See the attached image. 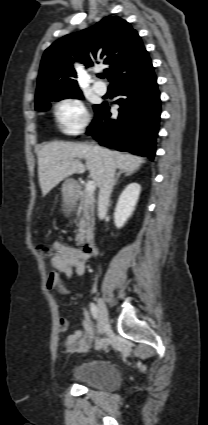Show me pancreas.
<instances>
[{
    "label": "pancreas",
    "instance_id": "obj_1",
    "mask_svg": "<svg viewBox=\"0 0 208 425\" xmlns=\"http://www.w3.org/2000/svg\"><path fill=\"white\" fill-rule=\"evenodd\" d=\"M94 207H95V198L93 194L88 193L84 190L81 194L80 204L78 212L83 214L82 218L79 220L78 232L76 233V244H83L85 235L92 231L94 225Z\"/></svg>",
    "mask_w": 208,
    "mask_h": 425
}]
</instances>
